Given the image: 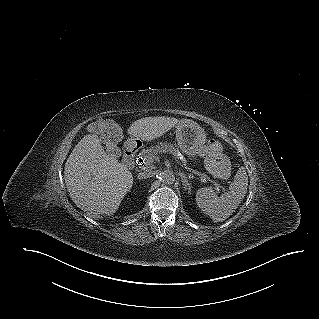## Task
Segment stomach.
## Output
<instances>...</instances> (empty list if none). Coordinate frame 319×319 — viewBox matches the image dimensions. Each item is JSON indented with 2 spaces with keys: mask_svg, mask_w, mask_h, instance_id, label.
I'll return each mask as SVG.
<instances>
[{
  "mask_svg": "<svg viewBox=\"0 0 319 319\" xmlns=\"http://www.w3.org/2000/svg\"><path fill=\"white\" fill-rule=\"evenodd\" d=\"M176 138L183 153L197 163V156L206 142L204 129L190 120H183L176 126Z\"/></svg>",
  "mask_w": 319,
  "mask_h": 319,
  "instance_id": "1",
  "label": "stomach"
}]
</instances>
